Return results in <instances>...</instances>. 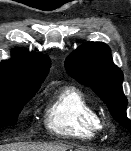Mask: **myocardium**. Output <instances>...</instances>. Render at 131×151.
Instances as JSON below:
<instances>
[{
    "instance_id": "myocardium-1",
    "label": "myocardium",
    "mask_w": 131,
    "mask_h": 151,
    "mask_svg": "<svg viewBox=\"0 0 131 151\" xmlns=\"http://www.w3.org/2000/svg\"><path fill=\"white\" fill-rule=\"evenodd\" d=\"M103 123V126L105 125V126H107V127H111V122H109V121H105V122H102Z\"/></svg>"
}]
</instances>
